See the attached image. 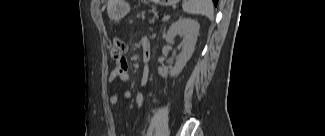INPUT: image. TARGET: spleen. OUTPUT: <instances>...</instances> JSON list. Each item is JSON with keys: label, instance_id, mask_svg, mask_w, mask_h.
<instances>
[{"label": "spleen", "instance_id": "3e777b00", "mask_svg": "<svg viewBox=\"0 0 325 136\" xmlns=\"http://www.w3.org/2000/svg\"><path fill=\"white\" fill-rule=\"evenodd\" d=\"M183 11L188 14L204 15L213 19L214 8L211 0H184Z\"/></svg>", "mask_w": 325, "mask_h": 136}]
</instances>
